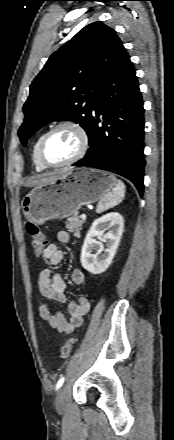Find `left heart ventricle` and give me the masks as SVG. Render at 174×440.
I'll list each match as a JSON object with an SVG mask.
<instances>
[{
	"mask_svg": "<svg viewBox=\"0 0 174 440\" xmlns=\"http://www.w3.org/2000/svg\"><path fill=\"white\" fill-rule=\"evenodd\" d=\"M79 147V137L71 129L54 131L46 140L43 155L50 164H60L73 157Z\"/></svg>",
	"mask_w": 174,
	"mask_h": 440,
	"instance_id": "1",
	"label": "left heart ventricle"
}]
</instances>
